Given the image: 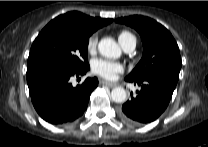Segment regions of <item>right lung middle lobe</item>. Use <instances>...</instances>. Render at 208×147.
<instances>
[{
    "label": "right lung middle lobe",
    "instance_id": "dd1d6c3e",
    "mask_svg": "<svg viewBox=\"0 0 208 147\" xmlns=\"http://www.w3.org/2000/svg\"><path fill=\"white\" fill-rule=\"evenodd\" d=\"M91 34L73 26H46L31 46L27 70L44 66L70 69L87 67V47Z\"/></svg>",
    "mask_w": 208,
    "mask_h": 147
}]
</instances>
